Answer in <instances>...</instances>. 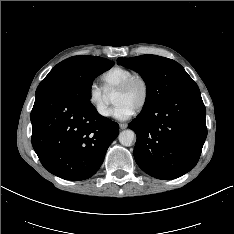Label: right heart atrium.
<instances>
[{"label":"right heart atrium","mask_w":234,"mask_h":234,"mask_svg":"<svg viewBox=\"0 0 234 234\" xmlns=\"http://www.w3.org/2000/svg\"><path fill=\"white\" fill-rule=\"evenodd\" d=\"M87 98L90 105L94 108L96 113L107 118L111 114V110L104 94V91L96 83H91L87 89Z\"/></svg>","instance_id":"right-heart-atrium-1"}]
</instances>
